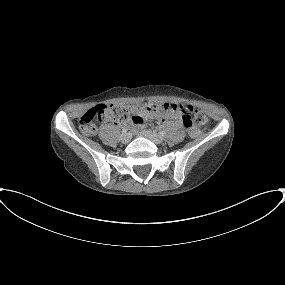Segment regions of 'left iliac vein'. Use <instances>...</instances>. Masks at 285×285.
Segmentation results:
<instances>
[{
  "label": "left iliac vein",
  "mask_w": 285,
  "mask_h": 285,
  "mask_svg": "<svg viewBox=\"0 0 285 285\" xmlns=\"http://www.w3.org/2000/svg\"><path fill=\"white\" fill-rule=\"evenodd\" d=\"M143 136L154 142L155 144H161L163 142V137L156 134L151 130H144L142 132Z\"/></svg>",
  "instance_id": "1"
}]
</instances>
